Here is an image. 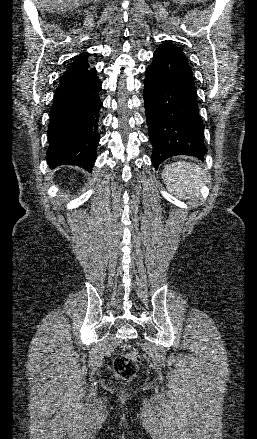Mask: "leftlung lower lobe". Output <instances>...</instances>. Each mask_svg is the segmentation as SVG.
<instances>
[{"label": "left lung lower lobe", "instance_id": "obj_1", "mask_svg": "<svg viewBox=\"0 0 257 439\" xmlns=\"http://www.w3.org/2000/svg\"><path fill=\"white\" fill-rule=\"evenodd\" d=\"M143 95L154 167L175 155L202 160L207 153L204 124L194 77L181 49L170 43L156 49L146 69Z\"/></svg>", "mask_w": 257, "mask_h": 439}]
</instances>
